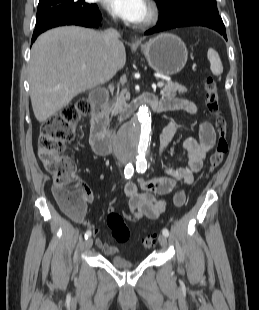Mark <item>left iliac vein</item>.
<instances>
[{
  "label": "left iliac vein",
  "mask_w": 259,
  "mask_h": 310,
  "mask_svg": "<svg viewBox=\"0 0 259 310\" xmlns=\"http://www.w3.org/2000/svg\"><path fill=\"white\" fill-rule=\"evenodd\" d=\"M158 241H159V244L161 245V247L163 248H166L167 247V237L163 234L159 235L158 237Z\"/></svg>",
  "instance_id": "1"
}]
</instances>
